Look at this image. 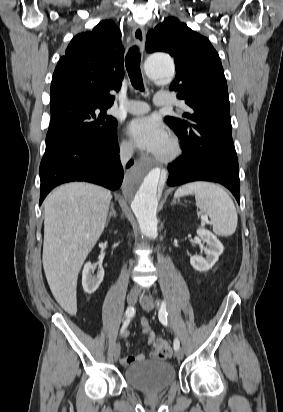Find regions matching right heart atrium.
Returning a JSON list of instances; mask_svg holds the SVG:
<instances>
[{
  "label": "right heart atrium",
  "instance_id": "d8ad5b80",
  "mask_svg": "<svg viewBox=\"0 0 283 412\" xmlns=\"http://www.w3.org/2000/svg\"><path fill=\"white\" fill-rule=\"evenodd\" d=\"M119 151L121 156L128 158L134 152V145L132 142L128 140H122L119 144Z\"/></svg>",
  "mask_w": 283,
  "mask_h": 412
}]
</instances>
